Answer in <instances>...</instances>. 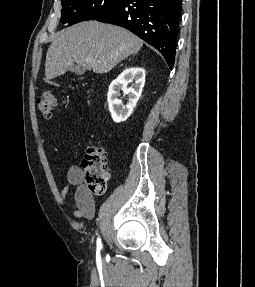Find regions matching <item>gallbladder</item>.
<instances>
[{
	"label": "gallbladder",
	"instance_id": "1",
	"mask_svg": "<svg viewBox=\"0 0 255 287\" xmlns=\"http://www.w3.org/2000/svg\"><path fill=\"white\" fill-rule=\"evenodd\" d=\"M70 72H75V74H84V68H69Z\"/></svg>",
	"mask_w": 255,
	"mask_h": 287
}]
</instances>
